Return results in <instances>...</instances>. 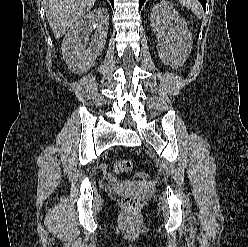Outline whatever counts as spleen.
Instances as JSON below:
<instances>
[{"label": "spleen", "mask_w": 248, "mask_h": 247, "mask_svg": "<svg viewBox=\"0 0 248 247\" xmlns=\"http://www.w3.org/2000/svg\"><path fill=\"white\" fill-rule=\"evenodd\" d=\"M179 1L183 5H186L188 8H190L197 17L199 18L201 17L202 9H201V5L198 3L197 0H179Z\"/></svg>", "instance_id": "spleen-1"}]
</instances>
